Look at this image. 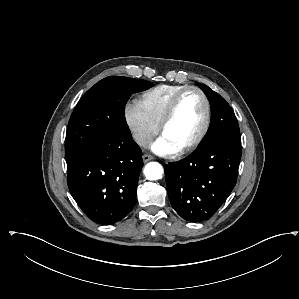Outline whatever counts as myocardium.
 I'll return each mask as SVG.
<instances>
[{
    "label": "myocardium",
    "mask_w": 299,
    "mask_h": 299,
    "mask_svg": "<svg viewBox=\"0 0 299 299\" xmlns=\"http://www.w3.org/2000/svg\"><path fill=\"white\" fill-rule=\"evenodd\" d=\"M188 92H196L202 98L203 103H204V119H203L202 125H201L197 135L190 142H188L185 146H183L179 149V152L181 154L191 151L192 149L197 147L202 142V140L204 139V137L209 129L210 121H211V105H210L207 95L204 93L203 90H201L198 87L187 86V87L183 88L181 91H179L172 98L171 102L169 103L168 107L166 108L165 113L159 123L160 134L163 133L164 129L171 122V120L173 119V117L176 113V110H177V107H178V104H179L181 98Z\"/></svg>",
    "instance_id": "obj_1"
}]
</instances>
